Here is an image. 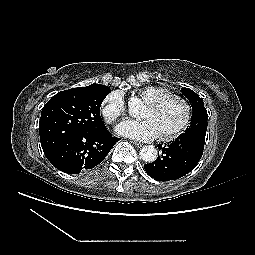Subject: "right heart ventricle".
Returning <instances> with one entry per match:
<instances>
[{
    "mask_svg": "<svg viewBox=\"0 0 255 255\" xmlns=\"http://www.w3.org/2000/svg\"><path fill=\"white\" fill-rule=\"evenodd\" d=\"M170 94V90L160 86H147L143 88L139 93L140 97L148 103L159 98L166 97Z\"/></svg>",
    "mask_w": 255,
    "mask_h": 255,
    "instance_id": "1",
    "label": "right heart ventricle"
}]
</instances>
